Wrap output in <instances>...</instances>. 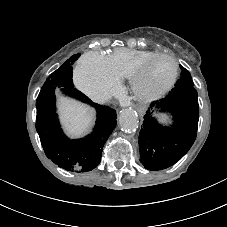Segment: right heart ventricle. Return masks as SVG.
Instances as JSON below:
<instances>
[{
	"label": "right heart ventricle",
	"mask_w": 227,
	"mask_h": 227,
	"mask_svg": "<svg viewBox=\"0 0 227 227\" xmlns=\"http://www.w3.org/2000/svg\"><path fill=\"white\" fill-rule=\"evenodd\" d=\"M156 53L150 50L118 48L110 53L107 59L112 71L119 78H130L143 61Z\"/></svg>",
	"instance_id": "e07e8e85"
}]
</instances>
